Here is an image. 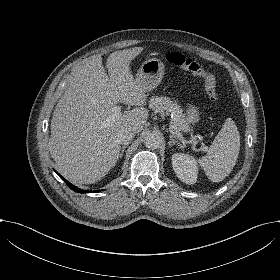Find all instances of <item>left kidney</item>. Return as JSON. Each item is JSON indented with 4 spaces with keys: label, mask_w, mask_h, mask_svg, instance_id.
<instances>
[{
    "label": "left kidney",
    "mask_w": 280,
    "mask_h": 280,
    "mask_svg": "<svg viewBox=\"0 0 280 280\" xmlns=\"http://www.w3.org/2000/svg\"><path fill=\"white\" fill-rule=\"evenodd\" d=\"M171 161L178 179L189 185H194L197 182L199 166L195 157L175 152L171 157Z\"/></svg>",
    "instance_id": "1"
}]
</instances>
